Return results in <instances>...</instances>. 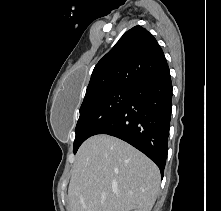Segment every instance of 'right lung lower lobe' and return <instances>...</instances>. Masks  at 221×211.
Returning <instances> with one entry per match:
<instances>
[{"instance_id":"obj_1","label":"right lung lower lobe","mask_w":221,"mask_h":211,"mask_svg":"<svg viewBox=\"0 0 221 211\" xmlns=\"http://www.w3.org/2000/svg\"><path fill=\"white\" fill-rule=\"evenodd\" d=\"M171 106L172 82L168 71L135 85L124 106L96 134H108L131 144L159 167L163 177Z\"/></svg>"}]
</instances>
